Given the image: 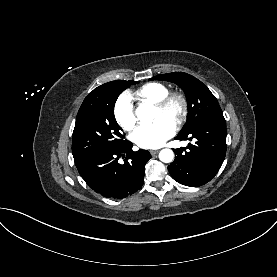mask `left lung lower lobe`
Wrapping results in <instances>:
<instances>
[{
    "instance_id": "obj_1",
    "label": "left lung lower lobe",
    "mask_w": 277,
    "mask_h": 277,
    "mask_svg": "<svg viewBox=\"0 0 277 277\" xmlns=\"http://www.w3.org/2000/svg\"><path fill=\"white\" fill-rule=\"evenodd\" d=\"M178 140H194L186 148L175 150L177 156L168 166L178 183L198 187L209 182L219 171L226 154V121L222 111L203 118Z\"/></svg>"
}]
</instances>
